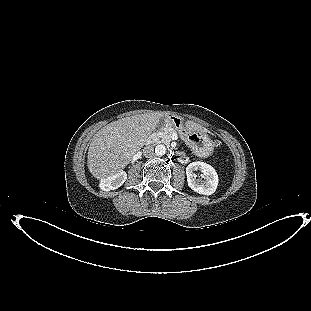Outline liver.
<instances>
[{"mask_svg":"<svg viewBox=\"0 0 311 311\" xmlns=\"http://www.w3.org/2000/svg\"><path fill=\"white\" fill-rule=\"evenodd\" d=\"M163 113L153 112L114 121L98 131L88 149L87 166L98 180L122 171L155 130ZM190 129L203 131L197 123L188 121Z\"/></svg>","mask_w":311,"mask_h":311,"instance_id":"1","label":"liver"}]
</instances>
